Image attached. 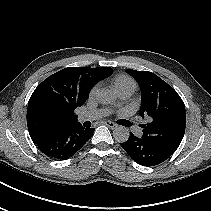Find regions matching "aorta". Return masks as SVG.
I'll list each match as a JSON object with an SVG mask.
<instances>
[{
  "label": "aorta",
  "instance_id": "obj_1",
  "mask_svg": "<svg viewBox=\"0 0 211 211\" xmlns=\"http://www.w3.org/2000/svg\"><path fill=\"white\" fill-rule=\"evenodd\" d=\"M97 99L102 104H111L115 101L116 96L112 91L108 89H103L98 93ZM129 135H130L129 129L123 126H119L115 128L113 131L114 139L120 143L127 141Z\"/></svg>",
  "mask_w": 211,
  "mask_h": 211
}]
</instances>
